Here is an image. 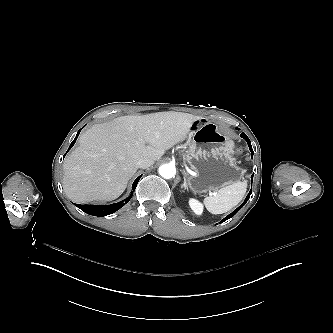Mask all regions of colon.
Listing matches in <instances>:
<instances>
[{
    "instance_id": "obj_1",
    "label": "colon",
    "mask_w": 333,
    "mask_h": 333,
    "mask_svg": "<svg viewBox=\"0 0 333 333\" xmlns=\"http://www.w3.org/2000/svg\"><path fill=\"white\" fill-rule=\"evenodd\" d=\"M235 152H236V154H240L241 153V149L238 148V149H236Z\"/></svg>"
}]
</instances>
